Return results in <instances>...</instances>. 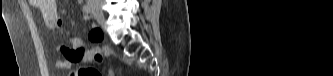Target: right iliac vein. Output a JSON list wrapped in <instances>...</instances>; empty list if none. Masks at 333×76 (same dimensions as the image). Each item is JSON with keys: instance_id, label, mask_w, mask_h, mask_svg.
Wrapping results in <instances>:
<instances>
[{"instance_id": "obj_1", "label": "right iliac vein", "mask_w": 333, "mask_h": 76, "mask_svg": "<svg viewBox=\"0 0 333 76\" xmlns=\"http://www.w3.org/2000/svg\"><path fill=\"white\" fill-rule=\"evenodd\" d=\"M90 8L97 22L100 24H104L105 17L100 5L91 3Z\"/></svg>"}]
</instances>
